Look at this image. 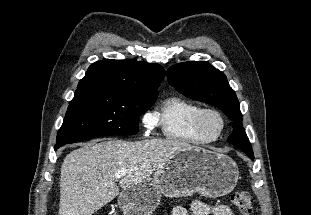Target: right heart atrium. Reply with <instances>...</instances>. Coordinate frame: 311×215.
I'll return each instance as SVG.
<instances>
[{"label":"right heart atrium","mask_w":311,"mask_h":215,"mask_svg":"<svg viewBox=\"0 0 311 215\" xmlns=\"http://www.w3.org/2000/svg\"><path fill=\"white\" fill-rule=\"evenodd\" d=\"M143 123L146 127L152 128L155 124V117L153 116L152 113H146L143 117Z\"/></svg>","instance_id":"obj_1"}]
</instances>
